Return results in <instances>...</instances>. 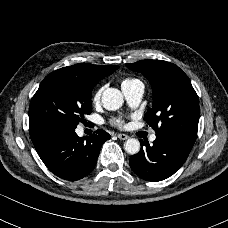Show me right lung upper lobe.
Wrapping results in <instances>:
<instances>
[{
  "instance_id": "right-lung-upper-lobe-1",
  "label": "right lung upper lobe",
  "mask_w": 228,
  "mask_h": 228,
  "mask_svg": "<svg viewBox=\"0 0 228 228\" xmlns=\"http://www.w3.org/2000/svg\"><path fill=\"white\" fill-rule=\"evenodd\" d=\"M116 65H93L87 63H79L73 66L61 68L59 72H71L83 76L88 81L97 84L104 77L112 74L117 70Z\"/></svg>"
}]
</instances>
